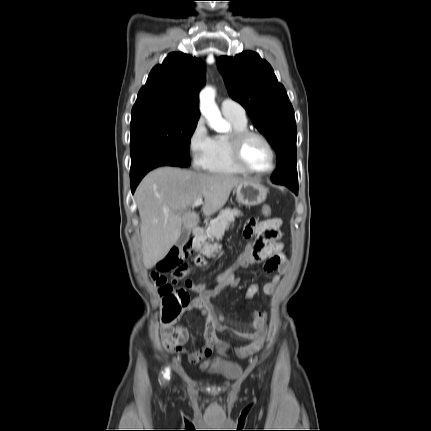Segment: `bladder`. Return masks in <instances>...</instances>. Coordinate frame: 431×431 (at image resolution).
Here are the masks:
<instances>
[{"mask_svg": "<svg viewBox=\"0 0 431 431\" xmlns=\"http://www.w3.org/2000/svg\"><path fill=\"white\" fill-rule=\"evenodd\" d=\"M240 373V366L236 363H225L209 370V374L222 380H233Z\"/></svg>", "mask_w": 431, "mask_h": 431, "instance_id": "bladder-1", "label": "bladder"}]
</instances>
